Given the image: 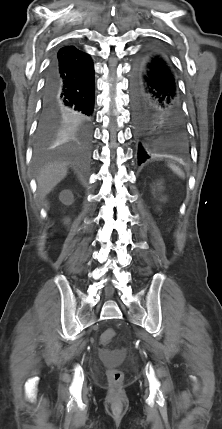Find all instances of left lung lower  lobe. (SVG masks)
Returning a JSON list of instances; mask_svg holds the SVG:
<instances>
[{"label": "left lung lower lobe", "mask_w": 222, "mask_h": 429, "mask_svg": "<svg viewBox=\"0 0 222 429\" xmlns=\"http://www.w3.org/2000/svg\"><path fill=\"white\" fill-rule=\"evenodd\" d=\"M131 100L138 162L187 148L185 118L174 70L166 55L146 47L131 73Z\"/></svg>", "instance_id": "obj_1"}]
</instances>
